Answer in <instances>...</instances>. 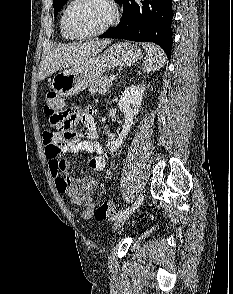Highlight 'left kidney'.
<instances>
[{"instance_id": "5707ae66", "label": "left kidney", "mask_w": 233, "mask_h": 294, "mask_svg": "<svg viewBox=\"0 0 233 294\" xmlns=\"http://www.w3.org/2000/svg\"><path fill=\"white\" fill-rule=\"evenodd\" d=\"M143 95V88L132 85L126 88L120 96L118 107L124 114L125 123L122 127V131L119 134V137L115 141H108L107 143V147L111 152L117 151V149L123 144V141L127 137L128 132L130 131V128L133 124V119L140 111Z\"/></svg>"}]
</instances>
